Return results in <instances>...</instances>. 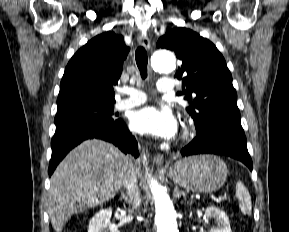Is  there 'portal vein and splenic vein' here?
<instances>
[{
    "instance_id": "18ae733b",
    "label": "portal vein and splenic vein",
    "mask_w": 289,
    "mask_h": 232,
    "mask_svg": "<svg viewBox=\"0 0 289 232\" xmlns=\"http://www.w3.org/2000/svg\"><path fill=\"white\" fill-rule=\"evenodd\" d=\"M227 199H228V197H227L226 195L220 196V197L218 198V200H219L220 202L226 201Z\"/></svg>"
}]
</instances>
